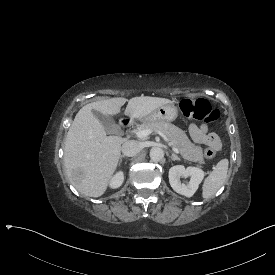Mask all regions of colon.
Instances as JSON below:
<instances>
[{
    "instance_id": "5ec220e1",
    "label": "colon",
    "mask_w": 275,
    "mask_h": 275,
    "mask_svg": "<svg viewBox=\"0 0 275 275\" xmlns=\"http://www.w3.org/2000/svg\"><path fill=\"white\" fill-rule=\"evenodd\" d=\"M180 111L184 117L203 123H212L221 115L220 110L212 108L211 104L206 99H183L180 102ZM215 156L216 150L214 148H207L204 150V157L206 159H213Z\"/></svg>"
}]
</instances>
